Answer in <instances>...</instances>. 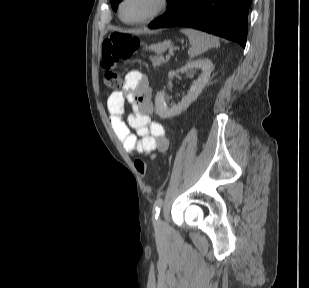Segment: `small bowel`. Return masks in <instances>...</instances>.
I'll return each mask as SVG.
<instances>
[{
    "instance_id": "1",
    "label": "small bowel",
    "mask_w": 309,
    "mask_h": 288,
    "mask_svg": "<svg viewBox=\"0 0 309 288\" xmlns=\"http://www.w3.org/2000/svg\"><path fill=\"white\" fill-rule=\"evenodd\" d=\"M126 103L131 106L128 116ZM107 109L112 129L128 154L151 155L169 150L164 127L150 117L154 109L151 90L147 78L139 71L127 72L122 89L109 95Z\"/></svg>"
}]
</instances>
